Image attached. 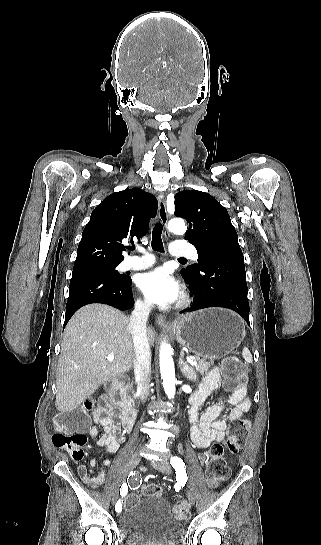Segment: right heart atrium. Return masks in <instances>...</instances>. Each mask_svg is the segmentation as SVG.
<instances>
[{"label": "right heart atrium", "instance_id": "1", "mask_svg": "<svg viewBox=\"0 0 321 545\" xmlns=\"http://www.w3.org/2000/svg\"><path fill=\"white\" fill-rule=\"evenodd\" d=\"M135 306L137 309H139L142 312H149L151 310L150 304L147 301L140 298L135 300Z\"/></svg>", "mask_w": 321, "mask_h": 545}]
</instances>
